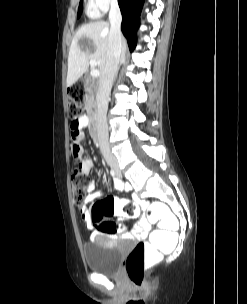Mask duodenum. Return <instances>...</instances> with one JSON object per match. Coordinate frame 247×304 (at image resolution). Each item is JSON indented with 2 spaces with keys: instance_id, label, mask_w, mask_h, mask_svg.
Listing matches in <instances>:
<instances>
[{
  "instance_id": "1",
  "label": "duodenum",
  "mask_w": 247,
  "mask_h": 304,
  "mask_svg": "<svg viewBox=\"0 0 247 304\" xmlns=\"http://www.w3.org/2000/svg\"><path fill=\"white\" fill-rule=\"evenodd\" d=\"M89 112L94 113L95 115H97V106L95 104L93 106H90L89 107ZM88 122H89V127H90V130H91L89 134H90V136L93 137L92 140L97 145L99 143L98 142L99 135H98V128H97V125H96V120L91 118V119H89Z\"/></svg>"
}]
</instances>
